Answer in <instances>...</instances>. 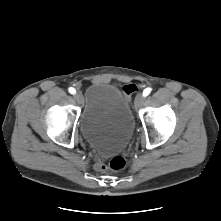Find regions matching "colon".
I'll list each match as a JSON object with an SVG mask.
<instances>
[{
	"instance_id": "colon-1",
	"label": "colon",
	"mask_w": 221,
	"mask_h": 221,
	"mask_svg": "<svg viewBox=\"0 0 221 221\" xmlns=\"http://www.w3.org/2000/svg\"><path fill=\"white\" fill-rule=\"evenodd\" d=\"M137 86L134 83H129L123 86V92L127 99L130 98V96L137 91ZM126 166V160L123 156L117 155L110 159L108 164H105L103 162H99L97 164V169L100 171H120L124 169Z\"/></svg>"
}]
</instances>
